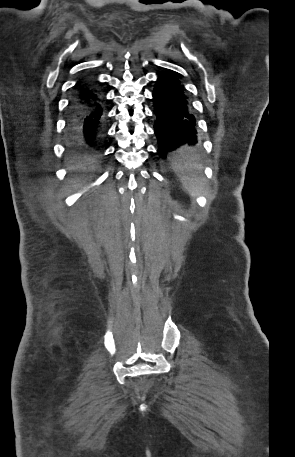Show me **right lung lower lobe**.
Here are the masks:
<instances>
[{
    "label": "right lung lower lobe",
    "instance_id": "obj_1",
    "mask_svg": "<svg viewBox=\"0 0 295 457\" xmlns=\"http://www.w3.org/2000/svg\"><path fill=\"white\" fill-rule=\"evenodd\" d=\"M103 102L95 81L86 78L75 86L70 103L71 122L82 130V144L91 152H97L102 147Z\"/></svg>",
    "mask_w": 295,
    "mask_h": 457
}]
</instances>
